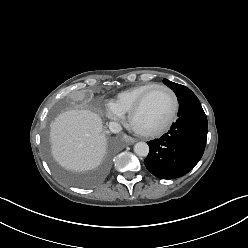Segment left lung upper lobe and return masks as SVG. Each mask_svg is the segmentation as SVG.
<instances>
[{
	"instance_id": "obj_1",
	"label": "left lung upper lobe",
	"mask_w": 248,
	"mask_h": 248,
	"mask_svg": "<svg viewBox=\"0 0 248 248\" xmlns=\"http://www.w3.org/2000/svg\"><path fill=\"white\" fill-rule=\"evenodd\" d=\"M163 82L175 92L176 96L178 97V101H185L191 95H194V93L186 86L171 82L167 79H164Z\"/></svg>"
}]
</instances>
